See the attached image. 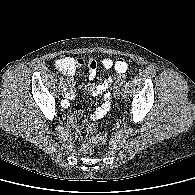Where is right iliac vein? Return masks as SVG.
I'll return each mask as SVG.
<instances>
[{
  "instance_id": "right-iliac-vein-1",
  "label": "right iliac vein",
  "mask_w": 195,
  "mask_h": 195,
  "mask_svg": "<svg viewBox=\"0 0 195 195\" xmlns=\"http://www.w3.org/2000/svg\"><path fill=\"white\" fill-rule=\"evenodd\" d=\"M66 90H67L66 84H63V85L61 86V91H62V93H66Z\"/></svg>"
}]
</instances>
